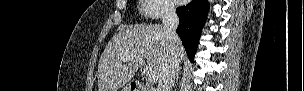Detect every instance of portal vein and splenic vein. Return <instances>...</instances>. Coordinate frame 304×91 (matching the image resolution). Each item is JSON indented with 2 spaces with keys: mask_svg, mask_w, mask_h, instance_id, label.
<instances>
[{
  "mask_svg": "<svg viewBox=\"0 0 304 91\" xmlns=\"http://www.w3.org/2000/svg\"><path fill=\"white\" fill-rule=\"evenodd\" d=\"M122 61L123 62L133 61V62L138 63L141 66H145V61L139 57L127 56V57L122 58ZM147 79L149 82L155 81L154 76L152 74H150L149 72L147 73Z\"/></svg>",
  "mask_w": 304,
  "mask_h": 91,
  "instance_id": "portal-vein-and-splenic-vein-1",
  "label": "portal vein and splenic vein"
}]
</instances>
